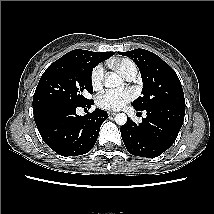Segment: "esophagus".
I'll return each instance as SVG.
<instances>
[{
  "label": "esophagus",
  "instance_id": "34e87169",
  "mask_svg": "<svg viewBox=\"0 0 214 214\" xmlns=\"http://www.w3.org/2000/svg\"><path fill=\"white\" fill-rule=\"evenodd\" d=\"M108 114H109L110 116H114V115L116 114V112L109 111Z\"/></svg>",
  "mask_w": 214,
  "mask_h": 214
}]
</instances>
